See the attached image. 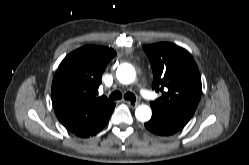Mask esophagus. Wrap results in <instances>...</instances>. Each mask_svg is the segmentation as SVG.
Segmentation results:
<instances>
[{
  "label": "esophagus",
  "instance_id": "1",
  "mask_svg": "<svg viewBox=\"0 0 249 165\" xmlns=\"http://www.w3.org/2000/svg\"><path fill=\"white\" fill-rule=\"evenodd\" d=\"M128 105L132 108H135L139 105V102L127 101Z\"/></svg>",
  "mask_w": 249,
  "mask_h": 165
}]
</instances>
